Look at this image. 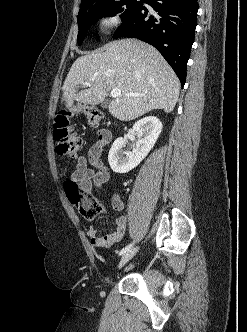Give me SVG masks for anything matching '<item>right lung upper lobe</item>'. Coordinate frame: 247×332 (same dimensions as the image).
I'll use <instances>...</instances> for the list:
<instances>
[{"label": "right lung upper lobe", "instance_id": "obj_1", "mask_svg": "<svg viewBox=\"0 0 247 332\" xmlns=\"http://www.w3.org/2000/svg\"><path fill=\"white\" fill-rule=\"evenodd\" d=\"M102 0H81L80 10L96 4Z\"/></svg>", "mask_w": 247, "mask_h": 332}]
</instances>
